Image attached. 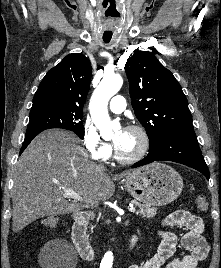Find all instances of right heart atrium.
I'll list each match as a JSON object with an SVG mask.
<instances>
[{"label": "right heart atrium", "mask_w": 221, "mask_h": 268, "mask_svg": "<svg viewBox=\"0 0 221 268\" xmlns=\"http://www.w3.org/2000/svg\"><path fill=\"white\" fill-rule=\"evenodd\" d=\"M83 142L93 159L104 161L110 158L111 146L101 138L97 128L90 121L84 123Z\"/></svg>", "instance_id": "obj_1"}]
</instances>
